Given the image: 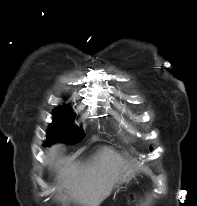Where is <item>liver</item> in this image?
I'll list each match as a JSON object with an SVG mask.
<instances>
[{
	"label": "liver",
	"mask_w": 197,
	"mask_h": 206,
	"mask_svg": "<svg viewBox=\"0 0 197 206\" xmlns=\"http://www.w3.org/2000/svg\"><path fill=\"white\" fill-rule=\"evenodd\" d=\"M58 145L48 151L55 159ZM126 161L111 147H102L86 162H74L60 169L57 181L62 184L70 200L82 206H98L108 197L118 182ZM67 196L61 197L64 201Z\"/></svg>",
	"instance_id": "1"
}]
</instances>
